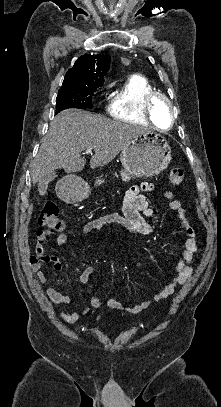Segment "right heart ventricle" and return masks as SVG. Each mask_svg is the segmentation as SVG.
Instances as JSON below:
<instances>
[{"label": "right heart ventricle", "mask_w": 221, "mask_h": 407, "mask_svg": "<svg viewBox=\"0 0 221 407\" xmlns=\"http://www.w3.org/2000/svg\"><path fill=\"white\" fill-rule=\"evenodd\" d=\"M154 92L156 89L147 78L141 75L132 76L111 97L106 108L107 113L117 120L148 125L143 105L147 96Z\"/></svg>", "instance_id": "1"}]
</instances>
